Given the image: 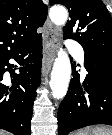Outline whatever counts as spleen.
<instances>
[{"instance_id":"obj_1","label":"spleen","mask_w":112,"mask_h":135,"mask_svg":"<svg viewBox=\"0 0 112 135\" xmlns=\"http://www.w3.org/2000/svg\"><path fill=\"white\" fill-rule=\"evenodd\" d=\"M74 135H112V129L104 126H96L90 131H79Z\"/></svg>"}]
</instances>
